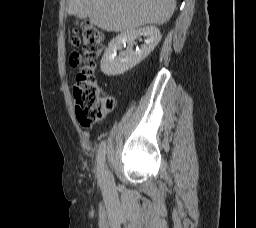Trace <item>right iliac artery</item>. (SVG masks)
Masks as SVG:
<instances>
[{"label": "right iliac artery", "instance_id": "obj_1", "mask_svg": "<svg viewBox=\"0 0 256 228\" xmlns=\"http://www.w3.org/2000/svg\"><path fill=\"white\" fill-rule=\"evenodd\" d=\"M103 144L107 143L106 139L102 140ZM105 145L100 146L97 154V163H98V177L102 181L105 171Z\"/></svg>", "mask_w": 256, "mask_h": 228}]
</instances>
